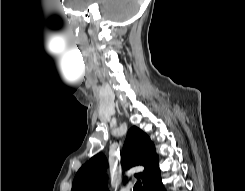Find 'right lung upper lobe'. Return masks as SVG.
I'll list each match as a JSON object with an SVG mask.
<instances>
[{
	"label": "right lung upper lobe",
	"instance_id": "1",
	"mask_svg": "<svg viewBox=\"0 0 245 191\" xmlns=\"http://www.w3.org/2000/svg\"><path fill=\"white\" fill-rule=\"evenodd\" d=\"M121 163L125 169L137 165L145 167L142 173L135 174L137 178H142L143 188L160 176L154 144L146 133L135 126L127 134ZM105 167L106 159L102 153L93 156L78 170L71 191H108L104 175Z\"/></svg>",
	"mask_w": 245,
	"mask_h": 191
}]
</instances>
